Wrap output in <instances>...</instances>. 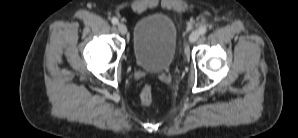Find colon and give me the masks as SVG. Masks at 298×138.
Here are the masks:
<instances>
[{
	"label": "colon",
	"instance_id": "obj_1",
	"mask_svg": "<svg viewBox=\"0 0 298 138\" xmlns=\"http://www.w3.org/2000/svg\"><path fill=\"white\" fill-rule=\"evenodd\" d=\"M154 100L153 89L150 86H145L141 92V101L145 105L152 104Z\"/></svg>",
	"mask_w": 298,
	"mask_h": 138
}]
</instances>
